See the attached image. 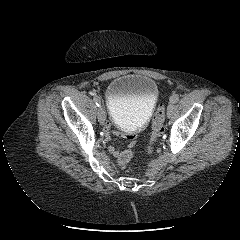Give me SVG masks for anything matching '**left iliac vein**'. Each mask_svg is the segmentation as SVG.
Instances as JSON below:
<instances>
[{"label":"left iliac vein","instance_id":"obj_1","mask_svg":"<svg viewBox=\"0 0 240 240\" xmlns=\"http://www.w3.org/2000/svg\"><path fill=\"white\" fill-rule=\"evenodd\" d=\"M174 110L173 102H169L167 106V117L170 118Z\"/></svg>","mask_w":240,"mask_h":240}]
</instances>
